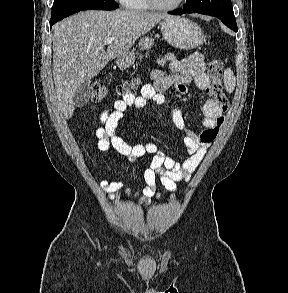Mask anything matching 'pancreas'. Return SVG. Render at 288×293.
<instances>
[{"mask_svg": "<svg viewBox=\"0 0 288 293\" xmlns=\"http://www.w3.org/2000/svg\"><path fill=\"white\" fill-rule=\"evenodd\" d=\"M147 55H148V53H147ZM139 57L142 58L143 56L140 54Z\"/></svg>", "mask_w": 288, "mask_h": 293, "instance_id": "cf45deb5", "label": "pancreas"}]
</instances>
